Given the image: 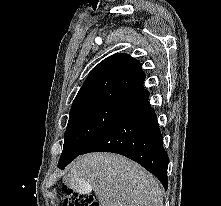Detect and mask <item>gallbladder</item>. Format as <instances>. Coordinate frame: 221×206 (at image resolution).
Wrapping results in <instances>:
<instances>
[{
  "label": "gallbladder",
  "instance_id": "obj_1",
  "mask_svg": "<svg viewBox=\"0 0 221 206\" xmlns=\"http://www.w3.org/2000/svg\"><path fill=\"white\" fill-rule=\"evenodd\" d=\"M65 186H69L70 190H75V194H90L87 181H65Z\"/></svg>",
  "mask_w": 221,
  "mask_h": 206
}]
</instances>
